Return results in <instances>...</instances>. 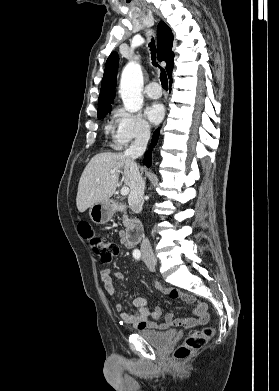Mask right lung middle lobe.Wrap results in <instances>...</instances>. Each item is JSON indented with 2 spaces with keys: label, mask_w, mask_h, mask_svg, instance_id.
Returning <instances> with one entry per match:
<instances>
[{
  "label": "right lung middle lobe",
  "mask_w": 279,
  "mask_h": 391,
  "mask_svg": "<svg viewBox=\"0 0 279 391\" xmlns=\"http://www.w3.org/2000/svg\"><path fill=\"white\" fill-rule=\"evenodd\" d=\"M108 112H109V109H105V110H103V111H101V112H98V118L100 119V118L105 117V115H106Z\"/></svg>",
  "instance_id": "1"
}]
</instances>
